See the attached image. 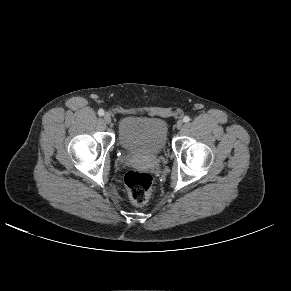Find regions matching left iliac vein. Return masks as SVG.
I'll return each instance as SVG.
<instances>
[{
    "label": "left iliac vein",
    "mask_w": 291,
    "mask_h": 291,
    "mask_svg": "<svg viewBox=\"0 0 291 291\" xmlns=\"http://www.w3.org/2000/svg\"><path fill=\"white\" fill-rule=\"evenodd\" d=\"M183 126V121L182 120H179L177 123H176V128L177 129H181Z\"/></svg>",
    "instance_id": "1"
}]
</instances>
